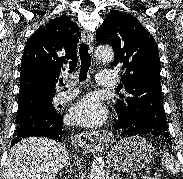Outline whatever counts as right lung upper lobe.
Segmentation results:
<instances>
[{
    "label": "right lung upper lobe",
    "instance_id": "obj_1",
    "mask_svg": "<svg viewBox=\"0 0 183 179\" xmlns=\"http://www.w3.org/2000/svg\"><path fill=\"white\" fill-rule=\"evenodd\" d=\"M79 27L65 15L39 27L28 39L21 61L20 95L54 94L62 71L77 66Z\"/></svg>",
    "mask_w": 183,
    "mask_h": 179
}]
</instances>
